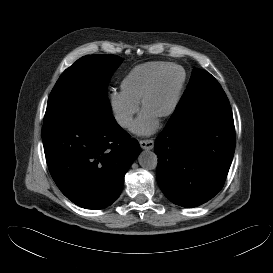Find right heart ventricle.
Here are the masks:
<instances>
[{
	"instance_id": "e07e8e85",
	"label": "right heart ventricle",
	"mask_w": 273,
	"mask_h": 273,
	"mask_svg": "<svg viewBox=\"0 0 273 273\" xmlns=\"http://www.w3.org/2000/svg\"><path fill=\"white\" fill-rule=\"evenodd\" d=\"M163 67V64L148 63L135 68L122 85V95L137 103L154 75Z\"/></svg>"
}]
</instances>
